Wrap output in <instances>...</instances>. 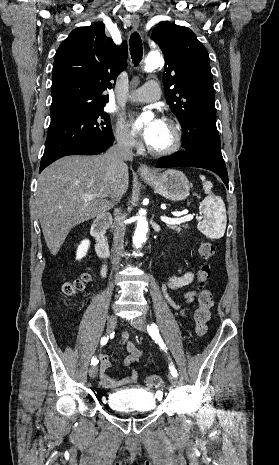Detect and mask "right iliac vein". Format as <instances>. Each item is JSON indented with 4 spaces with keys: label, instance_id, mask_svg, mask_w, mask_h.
Returning a JSON list of instances; mask_svg holds the SVG:
<instances>
[{
    "label": "right iliac vein",
    "instance_id": "63e3f726",
    "mask_svg": "<svg viewBox=\"0 0 279 465\" xmlns=\"http://www.w3.org/2000/svg\"><path fill=\"white\" fill-rule=\"evenodd\" d=\"M117 325V316L116 315H111L108 319L107 322V332L111 333ZM98 373V367L96 365H93L89 369V376L93 379L97 376Z\"/></svg>",
    "mask_w": 279,
    "mask_h": 465
}]
</instances>
